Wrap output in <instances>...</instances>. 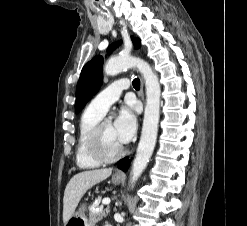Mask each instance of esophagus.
<instances>
[{
	"mask_svg": "<svg viewBox=\"0 0 247 226\" xmlns=\"http://www.w3.org/2000/svg\"><path fill=\"white\" fill-rule=\"evenodd\" d=\"M140 96L142 100H144V93H143V79L141 78V88H140ZM117 175H123L122 171H118Z\"/></svg>",
	"mask_w": 247,
	"mask_h": 226,
	"instance_id": "esophagus-1",
	"label": "esophagus"
}]
</instances>
